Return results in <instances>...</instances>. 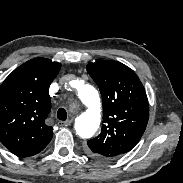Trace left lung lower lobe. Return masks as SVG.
<instances>
[{
  "mask_svg": "<svg viewBox=\"0 0 183 183\" xmlns=\"http://www.w3.org/2000/svg\"><path fill=\"white\" fill-rule=\"evenodd\" d=\"M92 155V154H91ZM94 158H96V159H102V158H100V157H98V156H95V155H92Z\"/></svg>",
  "mask_w": 183,
  "mask_h": 183,
  "instance_id": "obj_1",
  "label": "left lung lower lobe"
}]
</instances>
